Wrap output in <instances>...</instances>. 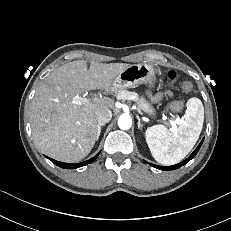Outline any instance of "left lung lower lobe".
Returning <instances> with one entry per match:
<instances>
[{
    "instance_id": "1",
    "label": "left lung lower lobe",
    "mask_w": 231,
    "mask_h": 231,
    "mask_svg": "<svg viewBox=\"0 0 231 231\" xmlns=\"http://www.w3.org/2000/svg\"><path fill=\"white\" fill-rule=\"evenodd\" d=\"M203 140L201 141V143L198 145V147L194 150V152L183 162L173 165V166H158V165H154L149 163L150 165H152L153 167L160 169V170H174V169H178L181 166H183L184 164H186L188 161H190L192 158H194V156L197 154V152L199 151L201 145H202Z\"/></svg>"
}]
</instances>
